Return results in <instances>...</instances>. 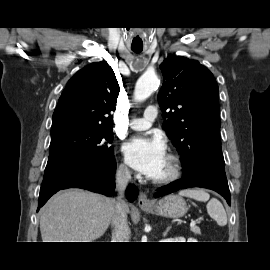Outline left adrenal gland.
Wrapping results in <instances>:
<instances>
[{"mask_svg": "<svg viewBox=\"0 0 270 270\" xmlns=\"http://www.w3.org/2000/svg\"><path fill=\"white\" fill-rule=\"evenodd\" d=\"M170 229H171V226L167 227L166 231L163 234L164 237H166Z\"/></svg>", "mask_w": 270, "mask_h": 270, "instance_id": "left-adrenal-gland-1", "label": "left adrenal gland"}]
</instances>
